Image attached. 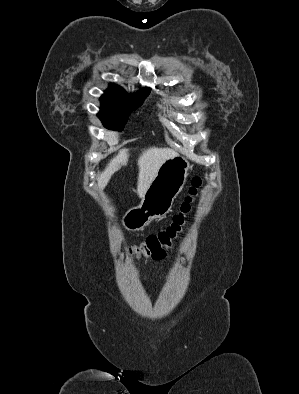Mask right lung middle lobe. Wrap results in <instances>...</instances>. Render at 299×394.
<instances>
[{"instance_id": "dd1d6c3e", "label": "right lung middle lobe", "mask_w": 299, "mask_h": 394, "mask_svg": "<svg viewBox=\"0 0 299 394\" xmlns=\"http://www.w3.org/2000/svg\"><path fill=\"white\" fill-rule=\"evenodd\" d=\"M147 96L148 94L129 95L127 93L103 95L100 98L101 110L97 116L107 129L121 131L130 113L139 107Z\"/></svg>"}]
</instances>
